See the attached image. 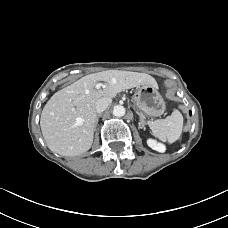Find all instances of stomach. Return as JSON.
<instances>
[{"mask_svg": "<svg viewBox=\"0 0 228 228\" xmlns=\"http://www.w3.org/2000/svg\"><path fill=\"white\" fill-rule=\"evenodd\" d=\"M136 108L150 117H157L164 113L165 102L158 92V88L151 85H143L138 88L132 97Z\"/></svg>", "mask_w": 228, "mask_h": 228, "instance_id": "1", "label": "stomach"}]
</instances>
